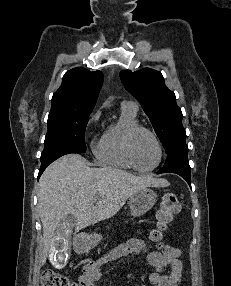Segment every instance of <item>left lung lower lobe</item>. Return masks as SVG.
Instances as JSON below:
<instances>
[{
	"mask_svg": "<svg viewBox=\"0 0 231 286\" xmlns=\"http://www.w3.org/2000/svg\"><path fill=\"white\" fill-rule=\"evenodd\" d=\"M167 154L168 157L165 165L157 174L167 172L176 173L183 177L191 187L188 147L186 143L183 142L173 146Z\"/></svg>",
	"mask_w": 231,
	"mask_h": 286,
	"instance_id": "left-lung-lower-lobe-1",
	"label": "left lung lower lobe"
}]
</instances>
